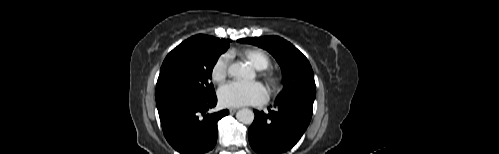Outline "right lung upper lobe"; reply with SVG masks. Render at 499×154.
<instances>
[{"label":"right lung upper lobe","mask_w":499,"mask_h":154,"mask_svg":"<svg viewBox=\"0 0 499 154\" xmlns=\"http://www.w3.org/2000/svg\"><path fill=\"white\" fill-rule=\"evenodd\" d=\"M196 37H207V38H214L212 36H206V35H196ZM223 41H228V40H223Z\"/></svg>","instance_id":"1"}]
</instances>
